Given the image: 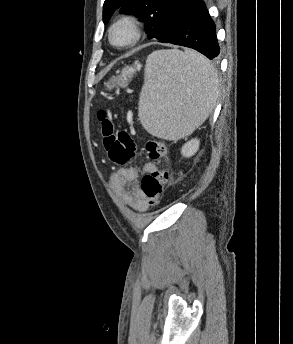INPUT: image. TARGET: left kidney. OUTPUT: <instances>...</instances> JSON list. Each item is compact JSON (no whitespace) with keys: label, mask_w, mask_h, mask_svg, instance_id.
<instances>
[{"label":"left kidney","mask_w":293,"mask_h":344,"mask_svg":"<svg viewBox=\"0 0 293 344\" xmlns=\"http://www.w3.org/2000/svg\"><path fill=\"white\" fill-rule=\"evenodd\" d=\"M199 145L200 141L198 139H191L182 146L181 154L184 157H191L198 151Z\"/></svg>","instance_id":"left-kidney-1"}]
</instances>
